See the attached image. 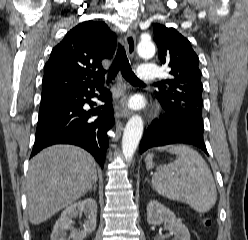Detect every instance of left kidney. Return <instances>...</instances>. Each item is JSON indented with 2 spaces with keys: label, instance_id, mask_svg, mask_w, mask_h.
<instances>
[{
  "label": "left kidney",
  "instance_id": "obj_1",
  "mask_svg": "<svg viewBox=\"0 0 248 240\" xmlns=\"http://www.w3.org/2000/svg\"><path fill=\"white\" fill-rule=\"evenodd\" d=\"M147 222L151 225L169 223V230L174 235V240H190V233L175 214L157 201H150L147 205Z\"/></svg>",
  "mask_w": 248,
  "mask_h": 240
}]
</instances>
